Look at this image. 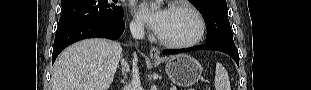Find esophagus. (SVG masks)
<instances>
[{
  "instance_id": "esophagus-1",
  "label": "esophagus",
  "mask_w": 311,
  "mask_h": 90,
  "mask_svg": "<svg viewBox=\"0 0 311 90\" xmlns=\"http://www.w3.org/2000/svg\"><path fill=\"white\" fill-rule=\"evenodd\" d=\"M150 57L153 59H160V51L156 47L150 48Z\"/></svg>"
}]
</instances>
